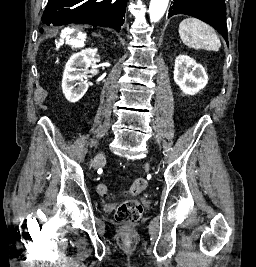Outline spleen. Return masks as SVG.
I'll return each mask as SVG.
<instances>
[{
    "label": "spleen",
    "mask_w": 256,
    "mask_h": 267,
    "mask_svg": "<svg viewBox=\"0 0 256 267\" xmlns=\"http://www.w3.org/2000/svg\"><path fill=\"white\" fill-rule=\"evenodd\" d=\"M178 32L183 44L188 48L208 50V52H218L221 48V42L214 28L197 18L182 20Z\"/></svg>",
    "instance_id": "spleen-1"
}]
</instances>
